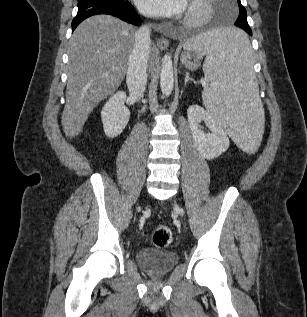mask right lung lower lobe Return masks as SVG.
I'll return each mask as SVG.
<instances>
[{
  "label": "right lung lower lobe",
  "mask_w": 307,
  "mask_h": 317,
  "mask_svg": "<svg viewBox=\"0 0 307 317\" xmlns=\"http://www.w3.org/2000/svg\"><path fill=\"white\" fill-rule=\"evenodd\" d=\"M99 14L112 15L128 23L141 25L138 14L127 0L122 3L109 0H82L78 2V12L72 21V32L83 20Z\"/></svg>",
  "instance_id": "right-lung-lower-lobe-1"
}]
</instances>
